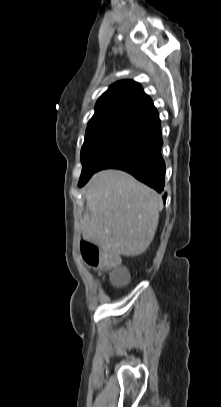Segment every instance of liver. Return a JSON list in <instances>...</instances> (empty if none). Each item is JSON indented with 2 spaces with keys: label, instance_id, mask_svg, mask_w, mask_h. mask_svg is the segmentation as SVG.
Wrapping results in <instances>:
<instances>
[{
  "label": "liver",
  "instance_id": "liver-1",
  "mask_svg": "<svg viewBox=\"0 0 221 407\" xmlns=\"http://www.w3.org/2000/svg\"><path fill=\"white\" fill-rule=\"evenodd\" d=\"M83 238L111 255L137 256L154 239L161 196L120 170L96 173L87 185Z\"/></svg>",
  "mask_w": 221,
  "mask_h": 407
}]
</instances>
